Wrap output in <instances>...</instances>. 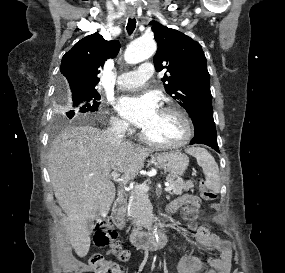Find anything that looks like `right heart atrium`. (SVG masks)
I'll list each match as a JSON object with an SVG mask.
<instances>
[{"mask_svg":"<svg viewBox=\"0 0 285 273\" xmlns=\"http://www.w3.org/2000/svg\"><path fill=\"white\" fill-rule=\"evenodd\" d=\"M111 124L118 132H124L128 129L126 121L116 116L111 118Z\"/></svg>","mask_w":285,"mask_h":273,"instance_id":"d8ad5b80","label":"right heart atrium"}]
</instances>
